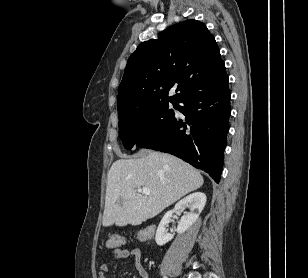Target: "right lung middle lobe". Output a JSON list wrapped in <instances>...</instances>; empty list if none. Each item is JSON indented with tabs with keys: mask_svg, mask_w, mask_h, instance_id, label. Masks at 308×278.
I'll return each instance as SVG.
<instances>
[{
	"mask_svg": "<svg viewBox=\"0 0 308 278\" xmlns=\"http://www.w3.org/2000/svg\"><path fill=\"white\" fill-rule=\"evenodd\" d=\"M174 108L176 103H172ZM175 117L169 103H157L140 108L119 121L120 138L126 149L139 146L144 141L163 130Z\"/></svg>",
	"mask_w": 308,
	"mask_h": 278,
	"instance_id": "dd1d6c3e",
	"label": "right lung middle lobe"
}]
</instances>
